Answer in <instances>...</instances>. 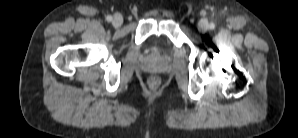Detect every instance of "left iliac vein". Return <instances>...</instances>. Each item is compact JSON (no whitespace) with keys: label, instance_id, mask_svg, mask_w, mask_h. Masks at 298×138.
<instances>
[{"label":"left iliac vein","instance_id":"1","mask_svg":"<svg viewBox=\"0 0 298 138\" xmlns=\"http://www.w3.org/2000/svg\"><path fill=\"white\" fill-rule=\"evenodd\" d=\"M198 29L201 33H205L208 30V22L206 19H202L199 21Z\"/></svg>","mask_w":298,"mask_h":138}]
</instances>
